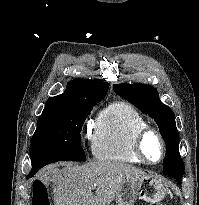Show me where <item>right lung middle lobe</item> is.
<instances>
[{"mask_svg":"<svg viewBox=\"0 0 199 205\" xmlns=\"http://www.w3.org/2000/svg\"><path fill=\"white\" fill-rule=\"evenodd\" d=\"M100 101L83 100L43 111L31 141L29 175L34 176L45 165L61 160L86 161L80 132L93 106Z\"/></svg>","mask_w":199,"mask_h":205,"instance_id":"1","label":"right lung middle lobe"}]
</instances>
